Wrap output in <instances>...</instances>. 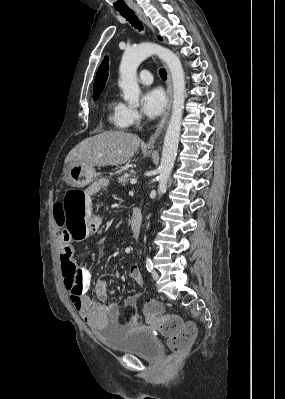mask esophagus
I'll return each instance as SVG.
<instances>
[{
    "label": "esophagus",
    "instance_id": "34e87169",
    "mask_svg": "<svg viewBox=\"0 0 285 399\" xmlns=\"http://www.w3.org/2000/svg\"><path fill=\"white\" fill-rule=\"evenodd\" d=\"M134 10V12L137 14V16L140 18V20L152 31L154 32V29L152 27V25L150 24L149 20L147 19V17L145 16V14L143 13V11L140 9V7L135 6L132 8ZM166 70H167V98H168V104H167V108H166V112L164 114V116L162 117L155 133L151 136V138L149 139V141L145 144V147H151L157 137L160 135V133L162 132L165 123L168 121L169 115H170V108H171V104H172V79H171V74L166 66Z\"/></svg>",
    "mask_w": 285,
    "mask_h": 399
}]
</instances>
